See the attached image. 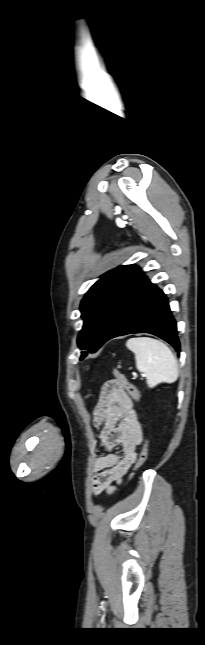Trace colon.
<instances>
[{"label": "colon", "mask_w": 205, "mask_h": 645, "mask_svg": "<svg viewBox=\"0 0 205 645\" xmlns=\"http://www.w3.org/2000/svg\"><path fill=\"white\" fill-rule=\"evenodd\" d=\"M113 375H114L115 378L113 380H110V381L107 382L108 383V388L110 390L125 391L135 401L140 400L139 391L137 390V388L132 383H130L124 377L123 374H121L118 370L113 369ZM147 457H148V442H147V440H145V442L143 444V447H142V449L140 451L139 457H138V459L136 461V464L134 466V469H133L132 473L130 474V477H129L130 480L134 477L136 471L139 470L144 465V463L147 460Z\"/></svg>", "instance_id": "colon-1"}]
</instances>
